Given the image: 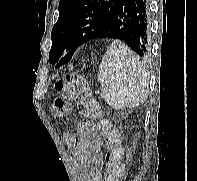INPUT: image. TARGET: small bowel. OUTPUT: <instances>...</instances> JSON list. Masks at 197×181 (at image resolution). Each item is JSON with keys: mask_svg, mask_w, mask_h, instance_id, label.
I'll use <instances>...</instances> for the list:
<instances>
[{"mask_svg": "<svg viewBox=\"0 0 197 181\" xmlns=\"http://www.w3.org/2000/svg\"><path fill=\"white\" fill-rule=\"evenodd\" d=\"M64 139L73 157L79 161V181H101L100 152L103 143L97 134L96 125L89 121L81 122L77 135L66 133Z\"/></svg>", "mask_w": 197, "mask_h": 181, "instance_id": "1", "label": "small bowel"}]
</instances>
